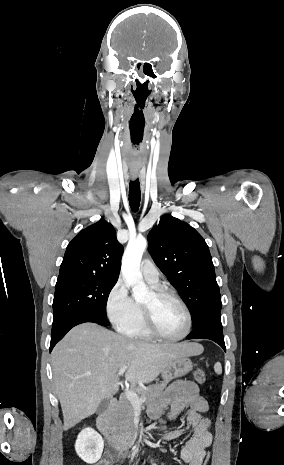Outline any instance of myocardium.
<instances>
[{"mask_svg":"<svg viewBox=\"0 0 284 465\" xmlns=\"http://www.w3.org/2000/svg\"><path fill=\"white\" fill-rule=\"evenodd\" d=\"M154 296H155L156 301L170 300L178 304L185 313L187 325L182 335L175 337V338L164 337L160 335L155 329V325H154L155 314H154L153 307L142 306V312H143L144 319H145V321H143L142 323H143V327L146 333L154 340L159 341V342H164V343H176V342H180L184 340L189 335L192 329V325H193L192 314L189 308L187 307V305L176 295L164 289L155 290Z\"/></svg>","mask_w":284,"mask_h":465,"instance_id":"obj_1","label":"myocardium"}]
</instances>
